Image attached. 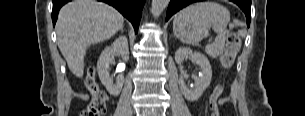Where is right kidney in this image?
<instances>
[{
	"label": "right kidney",
	"instance_id": "right-kidney-1",
	"mask_svg": "<svg viewBox=\"0 0 305 116\" xmlns=\"http://www.w3.org/2000/svg\"><path fill=\"white\" fill-rule=\"evenodd\" d=\"M115 54H119L124 61L129 59L128 41L125 36H120L111 46L106 47L97 62L99 78L107 91L113 96L120 94L124 83L123 75L118 76L116 84H113L109 75L110 64L113 62Z\"/></svg>",
	"mask_w": 305,
	"mask_h": 116
}]
</instances>
